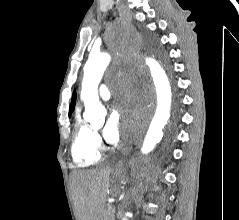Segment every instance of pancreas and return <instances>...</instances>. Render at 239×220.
<instances>
[{
	"label": "pancreas",
	"mask_w": 239,
	"mask_h": 220,
	"mask_svg": "<svg viewBox=\"0 0 239 220\" xmlns=\"http://www.w3.org/2000/svg\"><path fill=\"white\" fill-rule=\"evenodd\" d=\"M113 207L111 205H107L103 211V220H114V212L112 211Z\"/></svg>",
	"instance_id": "pancreas-1"
}]
</instances>
